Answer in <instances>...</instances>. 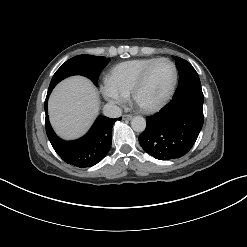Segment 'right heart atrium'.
I'll use <instances>...</instances> for the list:
<instances>
[{"label":"right heart atrium","instance_id":"1","mask_svg":"<svg viewBox=\"0 0 247 247\" xmlns=\"http://www.w3.org/2000/svg\"><path fill=\"white\" fill-rule=\"evenodd\" d=\"M102 92L104 97L111 103L121 104L126 99V94L122 91L118 90L112 84H110L107 80L104 81L102 85Z\"/></svg>","mask_w":247,"mask_h":247}]
</instances>
